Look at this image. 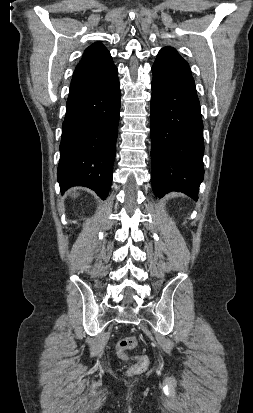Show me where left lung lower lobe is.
<instances>
[{
  "label": "left lung lower lobe",
  "instance_id": "0a47b994",
  "mask_svg": "<svg viewBox=\"0 0 253 413\" xmlns=\"http://www.w3.org/2000/svg\"><path fill=\"white\" fill-rule=\"evenodd\" d=\"M152 187L158 197L181 191L198 199L204 177L203 123L188 63L171 48L159 51L152 66Z\"/></svg>",
  "mask_w": 253,
  "mask_h": 413
}]
</instances>
